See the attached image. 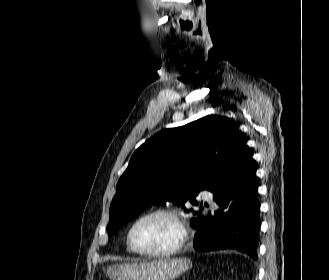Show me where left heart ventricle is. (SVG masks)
<instances>
[{
  "mask_svg": "<svg viewBox=\"0 0 329 280\" xmlns=\"http://www.w3.org/2000/svg\"><path fill=\"white\" fill-rule=\"evenodd\" d=\"M178 239V231L171 219L154 216L143 220L135 229L134 240L144 250L161 251L173 246Z\"/></svg>",
  "mask_w": 329,
  "mask_h": 280,
  "instance_id": "b2bd125f",
  "label": "left heart ventricle"
}]
</instances>
